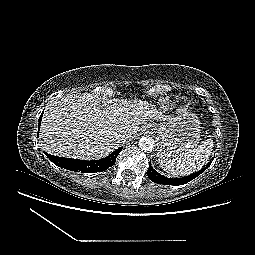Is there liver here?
Here are the masks:
<instances>
[{
	"label": "liver",
	"mask_w": 255,
	"mask_h": 255,
	"mask_svg": "<svg viewBox=\"0 0 255 255\" xmlns=\"http://www.w3.org/2000/svg\"><path fill=\"white\" fill-rule=\"evenodd\" d=\"M169 118L147 101H101L92 93L67 95L46 106L40 142L42 149L52 155L100 159L121 145L122 141L116 139L117 133L131 139L139 125Z\"/></svg>",
	"instance_id": "6515ba94"
}]
</instances>
